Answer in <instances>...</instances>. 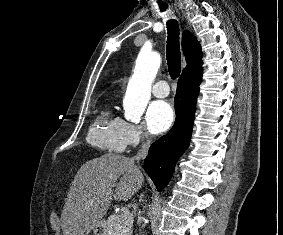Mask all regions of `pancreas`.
<instances>
[{
    "instance_id": "cf45deb5",
    "label": "pancreas",
    "mask_w": 283,
    "mask_h": 235,
    "mask_svg": "<svg viewBox=\"0 0 283 235\" xmlns=\"http://www.w3.org/2000/svg\"><path fill=\"white\" fill-rule=\"evenodd\" d=\"M133 215L112 214L107 220L110 235H132Z\"/></svg>"
}]
</instances>
